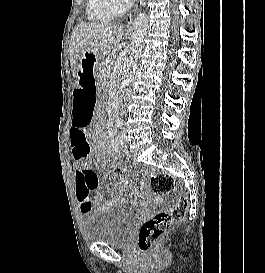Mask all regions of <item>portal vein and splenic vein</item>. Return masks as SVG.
<instances>
[{"label": "portal vein and splenic vein", "mask_w": 265, "mask_h": 273, "mask_svg": "<svg viewBox=\"0 0 265 273\" xmlns=\"http://www.w3.org/2000/svg\"><path fill=\"white\" fill-rule=\"evenodd\" d=\"M111 72V69L109 68L107 71H106V75H109Z\"/></svg>", "instance_id": "18ae733b"}]
</instances>
